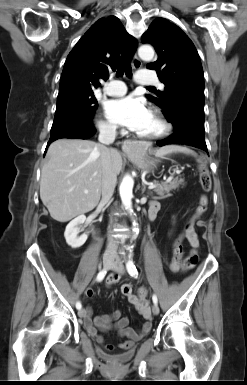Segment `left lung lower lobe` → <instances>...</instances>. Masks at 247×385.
<instances>
[{
    "label": "left lung lower lobe",
    "mask_w": 247,
    "mask_h": 385,
    "mask_svg": "<svg viewBox=\"0 0 247 385\" xmlns=\"http://www.w3.org/2000/svg\"><path fill=\"white\" fill-rule=\"evenodd\" d=\"M167 120L174 125V133L158 141V146L185 144L207 150L204 137V111L180 108Z\"/></svg>",
    "instance_id": "0a47b994"
}]
</instances>
